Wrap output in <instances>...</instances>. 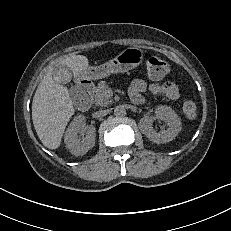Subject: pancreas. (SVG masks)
Returning a JSON list of instances; mask_svg holds the SVG:
<instances>
[{
    "label": "pancreas",
    "instance_id": "cf45deb5",
    "mask_svg": "<svg viewBox=\"0 0 231 231\" xmlns=\"http://www.w3.org/2000/svg\"><path fill=\"white\" fill-rule=\"evenodd\" d=\"M112 92L105 81H100L92 94V102L96 106L106 107L112 103Z\"/></svg>",
    "mask_w": 231,
    "mask_h": 231
}]
</instances>
